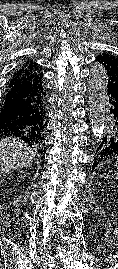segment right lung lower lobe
Wrapping results in <instances>:
<instances>
[{
  "mask_svg": "<svg viewBox=\"0 0 118 269\" xmlns=\"http://www.w3.org/2000/svg\"><path fill=\"white\" fill-rule=\"evenodd\" d=\"M37 87L8 86L0 105V137H19L30 147L40 145L42 131L36 125Z\"/></svg>",
  "mask_w": 118,
  "mask_h": 269,
  "instance_id": "obj_1",
  "label": "right lung lower lobe"
}]
</instances>
